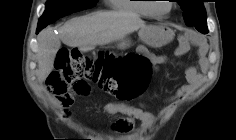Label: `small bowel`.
Instances as JSON below:
<instances>
[{"mask_svg": "<svg viewBox=\"0 0 236 140\" xmlns=\"http://www.w3.org/2000/svg\"><path fill=\"white\" fill-rule=\"evenodd\" d=\"M187 48V42L182 39L177 49V54H184L187 51ZM143 57H145L151 63V66L154 70H158L161 65L167 62V57L164 55H154L143 52ZM185 81V84L181 85L172 96L164 100L167 106L160 113V117H164L172 113L187 94L200 86L202 82V75L200 74L197 67L190 66L186 69ZM72 103V99L63 102L65 116L70 115L68 108ZM145 106V103H141L138 107L124 103H111L104 108V112L114 119V122L111 126L114 132L120 134H129L133 131L136 121L141 122L142 128L144 130L150 129L156 122L157 117L146 111Z\"/></svg>", "mask_w": 236, "mask_h": 140, "instance_id": "c3829d8e", "label": "small bowel"}]
</instances>
